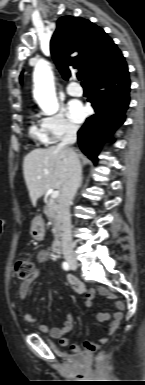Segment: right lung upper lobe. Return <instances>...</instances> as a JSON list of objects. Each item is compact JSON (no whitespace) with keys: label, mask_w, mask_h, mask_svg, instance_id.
<instances>
[{"label":"right lung upper lobe","mask_w":145,"mask_h":385,"mask_svg":"<svg viewBox=\"0 0 145 385\" xmlns=\"http://www.w3.org/2000/svg\"><path fill=\"white\" fill-rule=\"evenodd\" d=\"M52 58L67 80L77 69L88 84L125 62L103 29L84 18L61 17L50 43Z\"/></svg>","instance_id":"right-lung-upper-lobe-1"}]
</instances>
